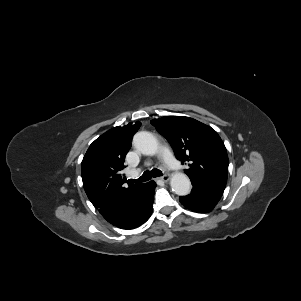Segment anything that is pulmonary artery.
I'll return each mask as SVG.
<instances>
[{
    "instance_id": "1",
    "label": "pulmonary artery",
    "mask_w": 301,
    "mask_h": 301,
    "mask_svg": "<svg viewBox=\"0 0 301 301\" xmlns=\"http://www.w3.org/2000/svg\"><path fill=\"white\" fill-rule=\"evenodd\" d=\"M161 156L165 164L167 165L168 168L172 170H179L180 169V164L178 161L174 158L173 154L167 147H162L161 148ZM137 172H133V175H136Z\"/></svg>"
}]
</instances>
